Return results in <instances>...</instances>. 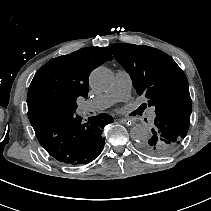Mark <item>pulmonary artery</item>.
Wrapping results in <instances>:
<instances>
[{"label": "pulmonary artery", "instance_id": "1", "mask_svg": "<svg viewBox=\"0 0 211 211\" xmlns=\"http://www.w3.org/2000/svg\"><path fill=\"white\" fill-rule=\"evenodd\" d=\"M131 87L130 74L127 71L120 70L116 73L114 85L108 93L100 95L94 100L81 103L79 110L82 113L102 111L120 99L124 104H129L132 101V96L129 94ZM144 116L147 120L154 121L158 118L159 113L156 109L149 108L145 111Z\"/></svg>", "mask_w": 211, "mask_h": 211}]
</instances>
